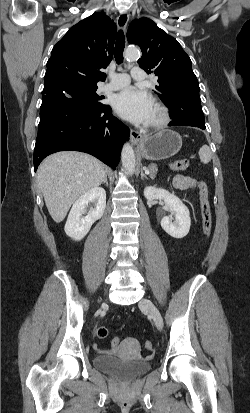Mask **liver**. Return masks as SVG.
Here are the masks:
<instances>
[{
    "instance_id": "obj_1",
    "label": "liver",
    "mask_w": 250,
    "mask_h": 413,
    "mask_svg": "<svg viewBox=\"0 0 250 413\" xmlns=\"http://www.w3.org/2000/svg\"><path fill=\"white\" fill-rule=\"evenodd\" d=\"M105 174L98 159L82 152H58L45 158L37 182L52 219L63 221L74 201L100 186Z\"/></svg>"
}]
</instances>
